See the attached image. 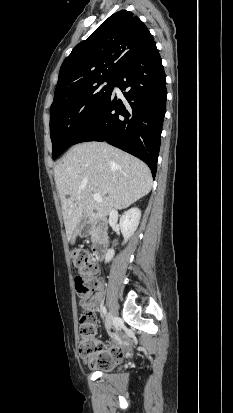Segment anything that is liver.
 I'll return each instance as SVG.
<instances>
[{
	"instance_id": "liver-1",
	"label": "liver",
	"mask_w": 233,
	"mask_h": 413,
	"mask_svg": "<svg viewBox=\"0 0 233 413\" xmlns=\"http://www.w3.org/2000/svg\"><path fill=\"white\" fill-rule=\"evenodd\" d=\"M54 178L68 241L81 220L88 218L92 224L111 210L127 208L152 188L149 167L106 142L73 146L56 164ZM95 193L102 202L93 199Z\"/></svg>"
}]
</instances>
